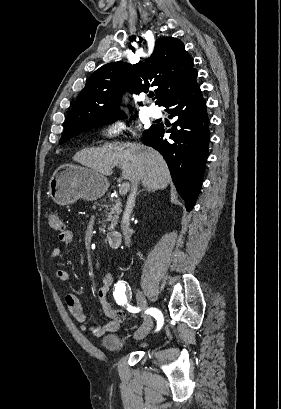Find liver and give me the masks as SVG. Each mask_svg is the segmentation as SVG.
I'll use <instances>...</instances> for the list:
<instances>
[{
    "instance_id": "1",
    "label": "liver",
    "mask_w": 281,
    "mask_h": 409,
    "mask_svg": "<svg viewBox=\"0 0 281 409\" xmlns=\"http://www.w3.org/2000/svg\"><path fill=\"white\" fill-rule=\"evenodd\" d=\"M74 160L94 168L100 174H112L114 166L122 168L121 178L130 182L141 180L145 188H166L170 172L161 154L140 142H119L101 148H83L73 156Z\"/></svg>"
}]
</instances>
